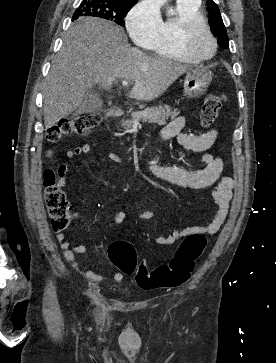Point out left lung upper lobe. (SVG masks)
Wrapping results in <instances>:
<instances>
[{
	"label": "left lung upper lobe",
	"mask_w": 276,
	"mask_h": 363,
	"mask_svg": "<svg viewBox=\"0 0 276 363\" xmlns=\"http://www.w3.org/2000/svg\"><path fill=\"white\" fill-rule=\"evenodd\" d=\"M207 6V10L210 13L209 23L211 25V32L216 37H218V44L223 48H227L229 46V39L226 33V28L223 24V20L221 18L219 8L213 0H208Z\"/></svg>",
	"instance_id": "1"
}]
</instances>
